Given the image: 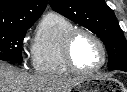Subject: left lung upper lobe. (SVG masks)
<instances>
[{
  "mask_svg": "<svg viewBox=\"0 0 127 92\" xmlns=\"http://www.w3.org/2000/svg\"><path fill=\"white\" fill-rule=\"evenodd\" d=\"M53 10L84 26L104 42L109 70L127 68V41L104 0H49Z\"/></svg>",
  "mask_w": 127,
  "mask_h": 92,
  "instance_id": "5c2ea615",
  "label": "left lung upper lobe"
}]
</instances>
